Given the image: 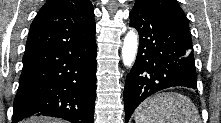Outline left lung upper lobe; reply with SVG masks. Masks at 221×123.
<instances>
[{
  "instance_id": "1",
  "label": "left lung upper lobe",
  "mask_w": 221,
  "mask_h": 123,
  "mask_svg": "<svg viewBox=\"0 0 221 123\" xmlns=\"http://www.w3.org/2000/svg\"><path fill=\"white\" fill-rule=\"evenodd\" d=\"M153 16L188 31L187 18L176 0H137Z\"/></svg>"
}]
</instances>
